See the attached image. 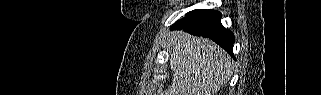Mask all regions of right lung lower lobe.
<instances>
[{
  "label": "right lung lower lobe",
  "instance_id": "1",
  "mask_svg": "<svg viewBox=\"0 0 321 95\" xmlns=\"http://www.w3.org/2000/svg\"><path fill=\"white\" fill-rule=\"evenodd\" d=\"M221 18L222 14L218 11L201 10L180 19L173 24L171 29H183L192 35L208 37L234 57L233 44L235 37L231 31L222 26Z\"/></svg>",
  "mask_w": 321,
  "mask_h": 95
}]
</instances>
